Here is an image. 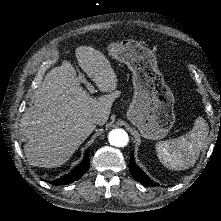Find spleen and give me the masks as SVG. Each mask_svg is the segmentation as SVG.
<instances>
[{
    "label": "spleen",
    "instance_id": "1",
    "mask_svg": "<svg viewBox=\"0 0 221 221\" xmlns=\"http://www.w3.org/2000/svg\"><path fill=\"white\" fill-rule=\"evenodd\" d=\"M208 133V123L202 117H198L192 130L187 134L156 144L160 162L165 167L177 171L194 166L206 145Z\"/></svg>",
    "mask_w": 221,
    "mask_h": 221
}]
</instances>
